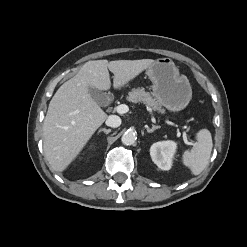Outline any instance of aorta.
Returning a JSON list of instances; mask_svg holds the SVG:
<instances>
[{
    "label": "aorta",
    "instance_id": "obj_1",
    "mask_svg": "<svg viewBox=\"0 0 247 247\" xmlns=\"http://www.w3.org/2000/svg\"><path fill=\"white\" fill-rule=\"evenodd\" d=\"M136 139V134L133 131H126L121 137V141L124 145H132L135 143Z\"/></svg>",
    "mask_w": 247,
    "mask_h": 247
}]
</instances>
